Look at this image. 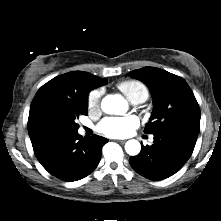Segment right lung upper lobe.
Wrapping results in <instances>:
<instances>
[{
    "instance_id": "obj_1",
    "label": "right lung upper lobe",
    "mask_w": 221,
    "mask_h": 221,
    "mask_svg": "<svg viewBox=\"0 0 221 221\" xmlns=\"http://www.w3.org/2000/svg\"><path fill=\"white\" fill-rule=\"evenodd\" d=\"M105 84H107L106 79L88 72L73 71L53 78L38 90L32 101L28 118V133L35 155L57 137L66 134L45 114L49 97L87 102L88 93L93 88Z\"/></svg>"
}]
</instances>
